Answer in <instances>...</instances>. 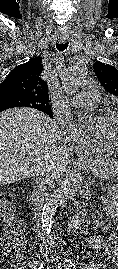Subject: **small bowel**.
I'll use <instances>...</instances> for the list:
<instances>
[{
    "label": "small bowel",
    "instance_id": "1",
    "mask_svg": "<svg viewBox=\"0 0 118 269\" xmlns=\"http://www.w3.org/2000/svg\"><path fill=\"white\" fill-rule=\"evenodd\" d=\"M109 203L111 204L110 208L112 210V214L118 215V193L112 196ZM111 240L114 244L118 243V231L113 233ZM89 245L95 250L103 251L107 259L118 267V251L107 243L102 237L98 235L91 236ZM18 269H26V267L20 266Z\"/></svg>",
    "mask_w": 118,
    "mask_h": 269
}]
</instances>
